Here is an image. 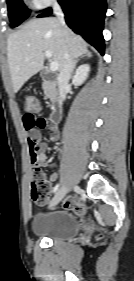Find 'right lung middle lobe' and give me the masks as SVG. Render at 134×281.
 <instances>
[{
  "instance_id": "right-lung-middle-lobe-1",
  "label": "right lung middle lobe",
  "mask_w": 134,
  "mask_h": 281,
  "mask_svg": "<svg viewBox=\"0 0 134 281\" xmlns=\"http://www.w3.org/2000/svg\"><path fill=\"white\" fill-rule=\"evenodd\" d=\"M7 5L12 27L18 26L30 15L22 0H7Z\"/></svg>"
}]
</instances>
